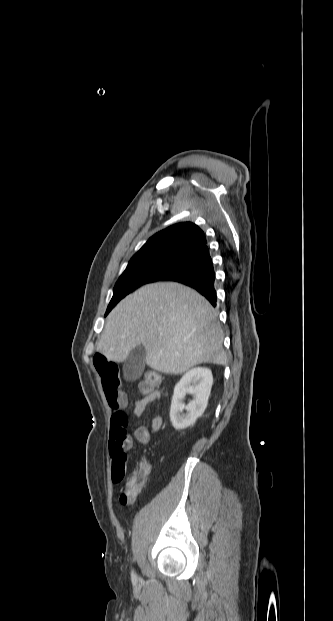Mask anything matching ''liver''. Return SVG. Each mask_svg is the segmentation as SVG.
Instances as JSON below:
<instances>
[{
	"instance_id": "1",
	"label": "liver",
	"mask_w": 333,
	"mask_h": 621,
	"mask_svg": "<svg viewBox=\"0 0 333 621\" xmlns=\"http://www.w3.org/2000/svg\"><path fill=\"white\" fill-rule=\"evenodd\" d=\"M210 303L174 282L146 285L108 315L97 351L123 362L143 345L145 362L166 374H182L201 363L225 365L223 332Z\"/></svg>"
}]
</instances>
